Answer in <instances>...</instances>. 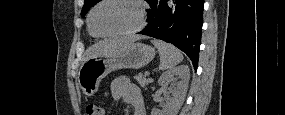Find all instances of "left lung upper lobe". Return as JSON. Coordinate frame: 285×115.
<instances>
[{
  "mask_svg": "<svg viewBox=\"0 0 285 115\" xmlns=\"http://www.w3.org/2000/svg\"><path fill=\"white\" fill-rule=\"evenodd\" d=\"M100 0H85L84 6L82 8L81 16L84 17L88 10L98 3Z\"/></svg>",
  "mask_w": 285,
  "mask_h": 115,
  "instance_id": "1",
  "label": "left lung upper lobe"
}]
</instances>
